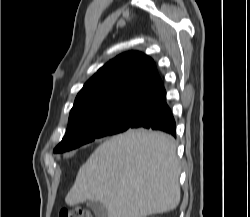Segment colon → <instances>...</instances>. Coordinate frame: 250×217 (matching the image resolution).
<instances>
[{"label": "colon", "mask_w": 250, "mask_h": 217, "mask_svg": "<svg viewBox=\"0 0 250 217\" xmlns=\"http://www.w3.org/2000/svg\"><path fill=\"white\" fill-rule=\"evenodd\" d=\"M59 217H92V215L83 208H71L62 210Z\"/></svg>", "instance_id": "5ec220e1"}]
</instances>
